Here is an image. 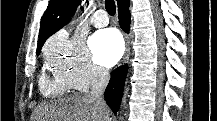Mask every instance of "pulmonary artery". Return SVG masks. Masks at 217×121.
I'll use <instances>...</instances> for the list:
<instances>
[{
  "mask_svg": "<svg viewBox=\"0 0 217 121\" xmlns=\"http://www.w3.org/2000/svg\"><path fill=\"white\" fill-rule=\"evenodd\" d=\"M91 22L95 27L100 28L108 25L109 18L108 15L100 9L94 13Z\"/></svg>",
  "mask_w": 217,
  "mask_h": 121,
  "instance_id": "obj_1",
  "label": "pulmonary artery"
}]
</instances>
